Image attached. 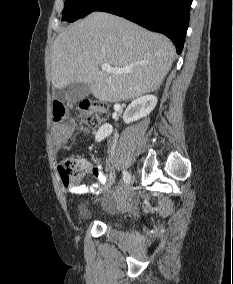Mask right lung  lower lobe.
I'll return each instance as SVG.
<instances>
[{
  "mask_svg": "<svg viewBox=\"0 0 233 284\" xmlns=\"http://www.w3.org/2000/svg\"><path fill=\"white\" fill-rule=\"evenodd\" d=\"M193 0H107L95 11L109 12L166 35L183 49Z\"/></svg>",
  "mask_w": 233,
  "mask_h": 284,
  "instance_id": "1",
  "label": "right lung lower lobe"
}]
</instances>
